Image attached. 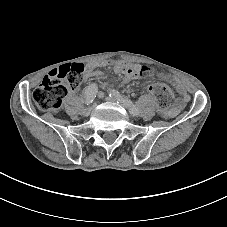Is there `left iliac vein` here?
<instances>
[{"mask_svg": "<svg viewBox=\"0 0 227 227\" xmlns=\"http://www.w3.org/2000/svg\"><path fill=\"white\" fill-rule=\"evenodd\" d=\"M105 101L106 102H111V103H116L117 102V103H120V105H122L123 107H125V105L123 103H121L120 101H118L115 98L110 97V96L106 97L105 98Z\"/></svg>", "mask_w": 227, "mask_h": 227, "instance_id": "1", "label": "left iliac vein"}]
</instances>
